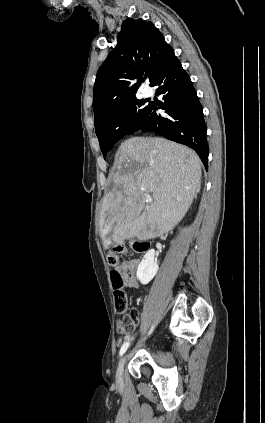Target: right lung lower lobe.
<instances>
[{
  "instance_id": "obj_1",
  "label": "right lung lower lobe",
  "mask_w": 265,
  "mask_h": 423,
  "mask_svg": "<svg viewBox=\"0 0 265 423\" xmlns=\"http://www.w3.org/2000/svg\"><path fill=\"white\" fill-rule=\"evenodd\" d=\"M151 86H158L157 93L163 95L164 103L161 106L150 104L144 117L128 134L152 131L187 145L197 152L207 170L209 150L203 110L189 76L176 57ZM158 109H165L168 115H159Z\"/></svg>"
}]
</instances>
